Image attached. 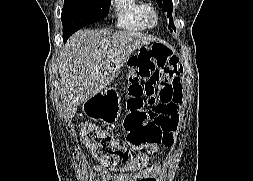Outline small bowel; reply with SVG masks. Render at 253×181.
I'll return each mask as SVG.
<instances>
[{"label": "small bowel", "instance_id": "obj_1", "mask_svg": "<svg viewBox=\"0 0 253 181\" xmlns=\"http://www.w3.org/2000/svg\"><path fill=\"white\" fill-rule=\"evenodd\" d=\"M132 68L140 77V81H143L142 87L146 93L161 92L171 98L170 114L176 117L178 121V109L181 101L180 72L171 67L159 66L155 58L149 53L136 55L133 58ZM95 170L104 174L99 168H95ZM157 170V166L147 167L134 174L121 175L115 181H155Z\"/></svg>", "mask_w": 253, "mask_h": 181}]
</instances>
